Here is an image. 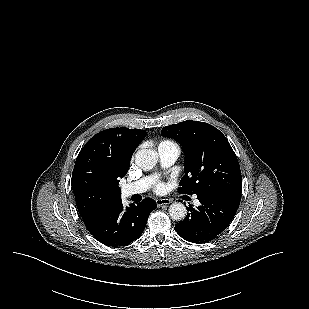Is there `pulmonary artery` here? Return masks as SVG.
Returning a JSON list of instances; mask_svg holds the SVG:
<instances>
[{
	"instance_id": "1",
	"label": "pulmonary artery",
	"mask_w": 309,
	"mask_h": 309,
	"mask_svg": "<svg viewBox=\"0 0 309 309\" xmlns=\"http://www.w3.org/2000/svg\"><path fill=\"white\" fill-rule=\"evenodd\" d=\"M179 153V147L175 144L164 143L160 144L158 147L160 163L164 167L171 166L177 160ZM153 181V177H145L136 182L126 184L122 187V194L124 196H131L143 193L149 189Z\"/></svg>"
}]
</instances>
